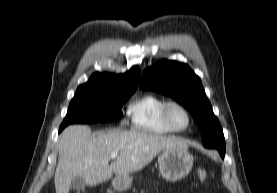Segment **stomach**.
I'll use <instances>...</instances> for the list:
<instances>
[{
    "label": "stomach",
    "mask_w": 277,
    "mask_h": 193,
    "mask_svg": "<svg viewBox=\"0 0 277 193\" xmlns=\"http://www.w3.org/2000/svg\"><path fill=\"white\" fill-rule=\"evenodd\" d=\"M193 166V156L187 148L165 149L159 157V170L167 181L175 182L187 176ZM132 178L117 175L112 179L115 191L124 192L130 188Z\"/></svg>",
    "instance_id": "stomach-1"
}]
</instances>
